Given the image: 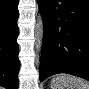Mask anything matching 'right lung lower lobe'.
<instances>
[{"label":"right lung lower lobe","mask_w":89,"mask_h":89,"mask_svg":"<svg viewBox=\"0 0 89 89\" xmlns=\"http://www.w3.org/2000/svg\"><path fill=\"white\" fill-rule=\"evenodd\" d=\"M18 3L19 0H0V85L7 89H18Z\"/></svg>","instance_id":"1"}]
</instances>
